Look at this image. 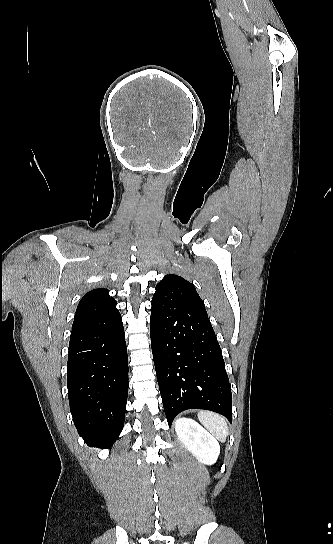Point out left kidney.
Masks as SVG:
<instances>
[{
    "instance_id": "5707ae66",
    "label": "left kidney",
    "mask_w": 333,
    "mask_h": 544,
    "mask_svg": "<svg viewBox=\"0 0 333 544\" xmlns=\"http://www.w3.org/2000/svg\"><path fill=\"white\" fill-rule=\"evenodd\" d=\"M175 430L180 441L199 462L206 465L216 462L220 445L201 425L192 419L180 418L175 423Z\"/></svg>"
}]
</instances>
